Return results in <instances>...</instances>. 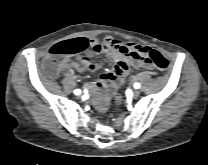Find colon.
Here are the masks:
<instances>
[{"label": "colon", "instance_id": "colon-1", "mask_svg": "<svg viewBox=\"0 0 208 165\" xmlns=\"http://www.w3.org/2000/svg\"><path fill=\"white\" fill-rule=\"evenodd\" d=\"M88 48L89 44L83 38L71 39L55 44L50 49L48 56L43 62L45 73L51 78L56 77L60 70L62 58L83 53L88 50ZM143 53L146 62L155 66L159 70L168 69L169 60L157 50L150 49L146 46L143 48Z\"/></svg>", "mask_w": 208, "mask_h": 165}]
</instances>
